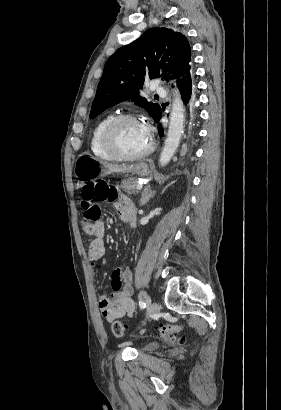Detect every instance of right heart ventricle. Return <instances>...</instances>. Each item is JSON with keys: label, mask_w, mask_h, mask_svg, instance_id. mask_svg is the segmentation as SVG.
I'll list each match as a JSON object with an SVG mask.
<instances>
[{"label": "right heart ventricle", "mask_w": 281, "mask_h": 410, "mask_svg": "<svg viewBox=\"0 0 281 410\" xmlns=\"http://www.w3.org/2000/svg\"><path fill=\"white\" fill-rule=\"evenodd\" d=\"M114 116L112 114L105 115L102 117L94 126L90 140H89V147L92 152V154L103 160H114L115 158L110 155L102 146L101 143V134L105 126L108 124V122L113 118Z\"/></svg>", "instance_id": "e07e8e85"}]
</instances>
